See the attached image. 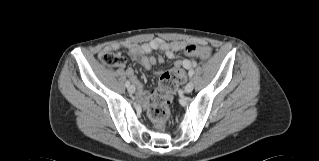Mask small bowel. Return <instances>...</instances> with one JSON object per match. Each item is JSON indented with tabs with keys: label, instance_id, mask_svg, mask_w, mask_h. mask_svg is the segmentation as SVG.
<instances>
[{
	"label": "small bowel",
	"instance_id": "small-bowel-1",
	"mask_svg": "<svg viewBox=\"0 0 319 161\" xmlns=\"http://www.w3.org/2000/svg\"><path fill=\"white\" fill-rule=\"evenodd\" d=\"M190 43H185L179 40L166 41L161 38H154L150 41L142 44L138 43H126L123 46L126 47L135 59H137L146 69H151L157 63H162V58H156L150 53L154 50L162 51L168 58H175L176 53L184 51L186 46ZM122 44L113 43L106 46L103 53L118 50ZM196 66V60L194 58L178 59L175 62V67H180L183 71V82L186 81V71ZM126 76L130 77L131 82L137 88V103L139 105H146L148 102V94L143 89L142 84L137 79L135 70L132 67H128L125 70Z\"/></svg>",
	"mask_w": 319,
	"mask_h": 161
}]
</instances>
